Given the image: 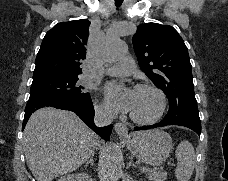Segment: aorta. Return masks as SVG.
Wrapping results in <instances>:
<instances>
[{"mask_svg": "<svg viewBox=\"0 0 228 181\" xmlns=\"http://www.w3.org/2000/svg\"><path fill=\"white\" fill-rule=\"evenodd\" d=\"M127 54V45L118 38H109L106 41L104 56L105 60L113 63ZM107 169L112 181H118L121 170L118 160V149L114 144H110L107 149Z\"/></svg>", "mask_w": 228, "mask_h": 181, "instance_id": "1", "label": "aorta"}]
</instances>
